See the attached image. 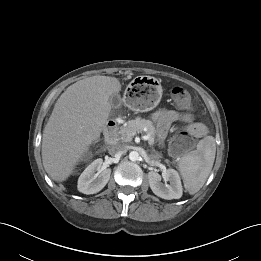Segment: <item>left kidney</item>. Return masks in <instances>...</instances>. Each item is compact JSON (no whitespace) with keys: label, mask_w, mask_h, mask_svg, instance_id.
Masks as SVG:
<instances>
[{"label":"left kidney","mask_w":261,"mask_h":261,"mask_svg":"<svg viewBox=\"0 0 261 261\" xmlns=\"http://www.w3.org/2000/svg\"><path fill=\"white\" fill-rule=\"evenodd\" d=\"M165 183L161 182V179ZM148 180L151 190L160 198L171 200L179 199L182 196L183 188L178 172L174 169H167L162 177L154 171L148 173Z\"/></svg>","instance_id":"obj_1"}]
</instances>
